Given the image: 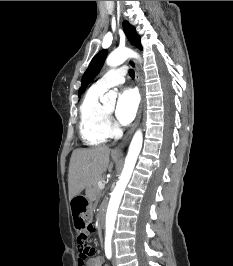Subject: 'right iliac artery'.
Here are the masks:
<instances>
[{
    "mask_svg": "<svg viewBox=\"0 0 233 266\" xmlns=\"http://www.w3.org/2000/svg\"><path fill=\"white\" fill-rule=\"evenodd\" d=\"M105 255L108 259L112 257L111 239L105 240Z\"/></svg>",
    "mask_w": 233,
    "mask_h": 266,
    "instance_id": "right-iliac-artery-1",
    "label": "right iliac artery"
}]
</instances>
